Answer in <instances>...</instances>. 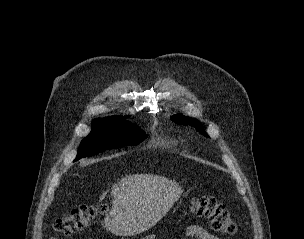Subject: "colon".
Returning <instances> with one entry per match:
<instances>
[{"mask_svg": "<svg viewBox=\"0 0 304 239\" xmlns=\"http://www.w3.org/2000/svg\"><path fill=\"white\" fill-rule=\"evenodd\" d=\"M104 209V206L80 205L58 218L54 224V229L62 235H72L89 226L96 217L102 214ZM191 209L196 215L207 218L214 231L223 235L235 233L236 224L229 210L216 198L211 196L195 197L192 200Z\"/></svg>", "mask_w": 304, "mask_h": 239, "instance_id": "obj_1", "label": "colon"}]
</instances>
